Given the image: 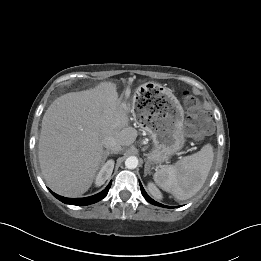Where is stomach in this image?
Returning a JSON list of instances; mask_svg holds the SVG:
<instances>
[{
    "label": "stomach",
    "instance_id": "1",
    "mask_svg": "<svg viewBox=\"0 0 261 261\" xmlns=\"http://www.w3.org/2000/svg\"><path fill=\"white\" fill-rule=\"evenodd\" d=\"M143 88V95L139 92L134 100L133 116L153 141L148 161L163 163L185 144L184 110L171 89L156 83L145 84Z\"/></svg>",
    "mask_w": 261,
    "mask_h": 261
}]
</instances>
